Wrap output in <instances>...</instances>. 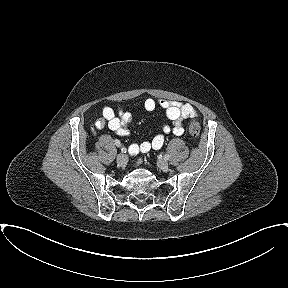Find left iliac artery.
Returning a JSON list of instances; mask_svg holds the SVG:
<instances>
[{"mask_svg": "<svg viewBox=\"0 0 288 288\" xmlns=\"http://www.w3.org/2000/svg\"><path fill=\"white\" fill-rule=\"evenodd\" d=\"M164 159H165V160H168V159H169V155H167V154L164 155Z\"/></svg>", "mask_w": 288, "mask_h": 288, "instance_id": "44dca946", "label": "left iliac artery"}]
</instances>
